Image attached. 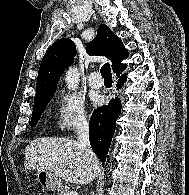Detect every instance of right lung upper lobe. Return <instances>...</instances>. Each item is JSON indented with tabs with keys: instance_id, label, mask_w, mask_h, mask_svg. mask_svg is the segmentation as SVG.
<instances>
[{
	"instance_id": "right-lung-upper-lobe-1",
	"label": "right lung upper lobe",
	"mask_w": 189,
	"mask_h": 195,
	"mask_svg": "<svg viewBox=\"0 0 189 195\" xmlns=\"http://www.w3.org/2000/svg\"><path fill=\"white\" fill-rule=\"evenodd\" d=\"M89 55L105 56L112 62V69L120 75L127 65L121 61L128 57L120 38L106 25L98 27L97 36L86 45ZM76 46L71 39L63 38L56 41L43 57L37 77V90L34 103L52 97L63 71L74 62Z\"/></svg>"
}]
</instances>
